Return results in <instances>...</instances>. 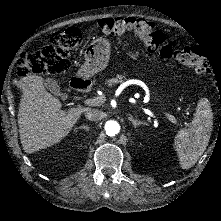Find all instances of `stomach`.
<instances>
[{
  "instance_id": "stomach-1",
  "label": "stomach",
  "mask_w": 221,
  "mask_h": 221,
  "mask_svg": "<svg viewBox=\"0 0 221 221\" xmlns=\"http://www.w3.org/2000/svg\"><path fill=\"white\" fill-rule=\"evenodd\" d=\"M110 55V45L107 40L98 38L90 43L85 51V64L78 68V75L82 79H89L92 75L106 68Z\"/></svg>"
}]
</instances>
